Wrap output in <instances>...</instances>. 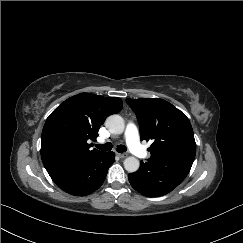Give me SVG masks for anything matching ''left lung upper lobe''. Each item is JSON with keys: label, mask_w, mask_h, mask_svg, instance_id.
I'll return each mask as SVG.
<instances>
[{"label": "left lung upper lobe", "mask_w": 243, "mask_h": 243, "mask_svg": "<svg viewBox=\"0 0 243 243\" xmlns=\"http://www.w3.org/2000/svg\"><path fill=\"white\" fill-rule=\"evenodd\" d=\"M135 112L141 140H152L147 162L177 156L195 157L196 143L189 119L162 99H126Z\"/></svg>", "instance_id": "obj_1"}]
</instances>
